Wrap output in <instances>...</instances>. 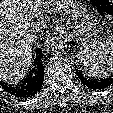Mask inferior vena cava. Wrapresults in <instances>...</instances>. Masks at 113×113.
Segmentation results:
<instances>
[{
	"mask_svg": "<svg viewBox=\"0 0 113 113\" xmlns=\"http://www.w3.org/2000/svg\"><path fill=\"white\" fill-rule=\"evenodd\" d=\"M46 26V21L44 20V17H40L37 20H35L34 22H32L31 25V32H32V36L35 37V34L37 32L42 31V29Z\"/></svg>",
	"mask_w": 113,
	"mask_h": 113,
	"instance_id": "inferior-vena-cava-1",
	"label": "inferior vena cava"
}]
</instances>
